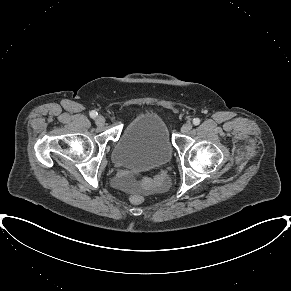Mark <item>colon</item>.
I'll use <instances>...</instances> for the list:
<instances>
[{"label":"colon","mask_w":291,"mask_h":291,"mask_svg":"<svg viewBox=\"0 0 291 291\" xmlns=\"http://www.w3.org/2000/svg\"><path fill=\"white\" fill-rule=\"evenodd\" d=\"M162 181L161 177H156V178H147L143 181V187L148 188L151 186H156L158 184H160V182ZM143 197L139 194H135L130 198V201L132 204L134 205H139L143 202Z\"/></svg>","instance_id":"5ec220e1"}]
</instances>
